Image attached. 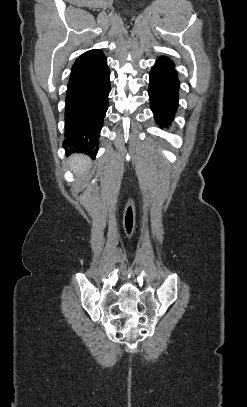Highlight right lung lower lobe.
<instances>
[{"mask_svg": "<svg viewBox=\"0 0 247 407\" xmlns=\"http://www.w3.org/2000/svg\"><path fill=\"white\" fill-rule=\"evenodd\" d=\"M109 92L110 71L105 56L70 74L63 142L67 153H85L95 158Z\"/></svg>", "mask_w": 247, "mask_h": 407, "instance_id": "1", "label": "right lung lower lobe"}]
</instances>
